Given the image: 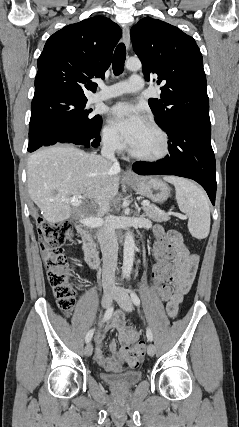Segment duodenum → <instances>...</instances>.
I'll use <instances>...</instances> for the list:
<instances>
[{
	"instance_id": "1",
	"label": "duodenum",
	"mask_w": 239,
	"mask_h": 427,
	"mask_svg": "<svg viewBox=\"0 0 239 427\" xmlns=\"http://www.w3.org/2000/svg\"><path fill=\"white\" fill-rule=\"evenodd\" d=\"M77 232L80 237L81 248L84 252L85 259L92 269H97L100 264V257L96 245L89 230L79 226Z\"/></svg>"
}]
</instances>
